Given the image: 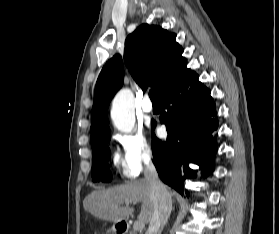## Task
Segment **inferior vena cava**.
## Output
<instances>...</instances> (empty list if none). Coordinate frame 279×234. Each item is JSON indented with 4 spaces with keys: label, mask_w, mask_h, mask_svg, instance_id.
I'll use <instances>...</instances> for the list:
<instances>
[{
    "label": "inferior vena cava",
    "mask_w": 279,
    "mask_h": 234,
    "mask_svg": "<svg viewBox=\"0 0 279 234\" xmlns=\"http://www.w3.org/2000/svg\"><path fill=\"white\" fill-rule=\"evenodd\" d=\"M144 176L151 186L153 200V214L146 234H161L172 210L171 196L165 185L159 180L152 162L146 164Z\"/></svg>",
    "instance_id": "1"
}]
</instances>
